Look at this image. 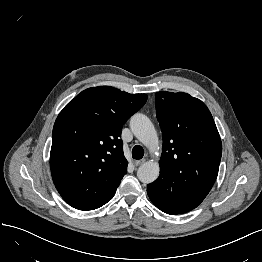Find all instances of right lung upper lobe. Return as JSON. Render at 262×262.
I'll list each match as a JSON object with an SVG mask.
<instances>
[{
	"mask_svg": "<svg viewBox=\"0 0 262 262\" xmlns=\"http://www.w3.org/2000/svg\"><path fill=\"white\" fill-rule=\"evenodd\" d=\"M110 86L91 87L71 100L53 127L50 168L62 198L79 210H93L112 199L128 162L121 130L146 102Z\"/></svg>",
	"mask_w": 262,
	"mask_h": 262,
	"instance_id": "cb5924a9",
	"label": "right lung upper lobe"
}]
</instances>
